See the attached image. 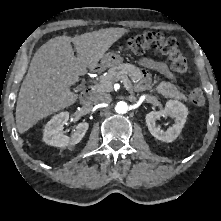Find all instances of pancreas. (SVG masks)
<instances>
[{
	"label": "pancreas",
	"instance_id": "obj_1",
	"mask_svg": "<svg viewBox=\"0 0 221 221\" xmlns=\"http://www.w3.org/2000/svg\"><path fill=\"white\" fill-rule=\"evenodd\" d=\"M140 76L141 70L138 67L129 63H123L110 68L105 75L100 76L99 83L95 86V91L110 92L113 89V83L120 79L124 80V82L131 86V80L137 81L139 80ZM156 90L165 98L187 100L185 95L170 82L163 81L159 83Z\"/></svg>",
	"mask_w": 221,
	"mask_h": 221
}]
</instances>
